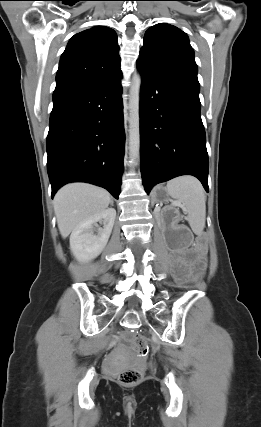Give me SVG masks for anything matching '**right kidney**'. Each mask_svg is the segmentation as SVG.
<instances>
[{
	"instance_id": "1",
	"label": "right kidney",
	"mask_w": 261,
	"mask_h": 427,
	"mask_svg": "<svg viewBox=\"0 0 261 427\" xmlns=\"http://www.w3.org/2000/svg\"><path fill=\"white\" fill-rule=\"evenodd\" d=\"M115 217L116 210L108 208L75 227L70 236V249L78 261H91L103 251L111 235ZM97 222L103 224V228H98Z\"/></svg>"
}]
</instances>
